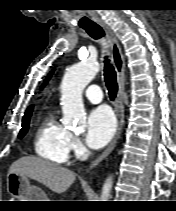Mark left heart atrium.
<instances>
[{
  "label": "left heart atrium",
  "instance_id": "obj_1",
  "mask_svg": "<svg viewBox=\"0 0 176 211\" xmlns=\"http://www.w3.org/2000/svg\"><path fill=\"white\" fill-rule=\"evenodd\" d=\"M115 129L112 112L106 107H98L87 118L85 141L92 148H101L111 140Z\"/></svg>",
  "mask_w": 176,
  "mask_h": 211
}]
</instances>
